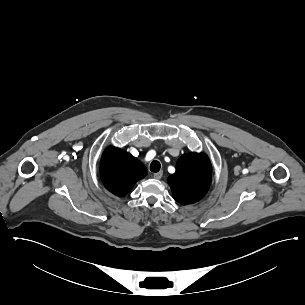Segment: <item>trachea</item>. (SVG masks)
<instances>
[{
	"label": "trachea",
	"mask_w": 305,
	"mask_h": 305,
	"mask_svg": "<svg viewBox=\"0 0 305 305\" xmlns=\"http://www.w3.org/2000/svg\"><path fill=\"white\" fill-rule=\"evenodd\" d=\"M160 168H161V164L159 161L154 160L153 162H151V164H150L151 172L157 173L160 170Z\"/></svg>",
	"instance_id": "1"
}]
</instances>
